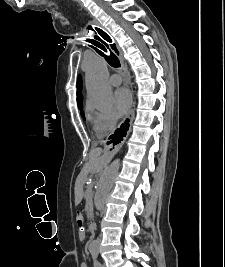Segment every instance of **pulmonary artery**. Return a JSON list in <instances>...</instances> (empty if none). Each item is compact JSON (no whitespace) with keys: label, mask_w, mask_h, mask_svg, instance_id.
I'll return each instance as SVG.
<instances>
[{"label":"pulmonary artery","mask_w":225,"mask_h":267,"mask_svg":"<svg viewBox=\"0 0 225 267\" xmlns=\"http://www.w3.org/2000/svg\"><path fill=\"white\" fill-rule=\"evenodd\" d=\"M121 77L118 74H112L109 78V83L112 86H118L121 84Z\"/></svg>","instance_id":"1"}]
</instances>
